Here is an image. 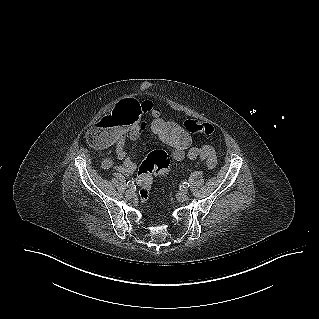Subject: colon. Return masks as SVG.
Instances as JSON below:
<instances>
[{"label": "colon", "mask_w": 319, "mask_h": 319, "mask_svg": "<svg viewBox=\"0 0 319 319\" xmlns=\"http://www.w3.org/2000/svg\"><path fill=\"white\" fill-rule=\"evenodd\" d=\"M149 132L162 144L178 150H187L193 145L194 135H189V133L202 137H219L217 127L212 126L206 120H199L194 117L184 118L180 125L174 123L167 116H156L149 123ZM170 168L171 160L166 151L157 149L148 154L140 164L136 178L140 187L139 196L142 201H146L149 197L152 175L165 176L169 173Z\"/></svg>", "instance_id": "colon-1"}]
</instances>
